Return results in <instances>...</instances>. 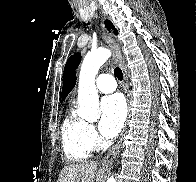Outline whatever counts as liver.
Masks as SVG:
<instances>
[{"instance_id": "6515ba94", "label": "liver", "mask_w": 196, "mask_h": 182, "mask_svg": "<svg viewBox=\"0 0 196 182\" xmlns=\"http://www.w3.org/2000/svg\"><path fill=\"white\" fill-rule=\"evenodd\" d=\"M98 168L97 162H79L65 166L57 182H94L101 181L104 168Z\"/></svg>"}]
</instances>
